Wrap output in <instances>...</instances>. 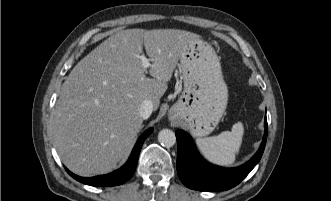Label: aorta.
I'll use <instances>...</instances> for the list:
<instances>
[{"label":"aorta","mask_w":331,"mask_h":201,"mask_svg":"<svg viewBox=\"0 0 331 201\" xmlns=\"http://www.w3.org/2000/svg\"><path fill=\"white\" fill-rule=\"evenodd\" d=\"M158 141L162 146L170 148L176 143L175 133L170 129H163L158 134Z\"/></svg>","instance_id":"1"}]
</instances>
